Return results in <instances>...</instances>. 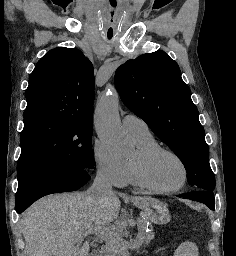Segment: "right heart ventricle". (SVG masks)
I'll return each instance as SVG.
<instances>
[{
  "mask_svg": "<svg viewBox=\"0 0 236 256\" xmlns=\"http://www.w3.org/2000/svg\"><path fill=\"white\" fill-rule=\"evenodd\" d=\"M132 138L138 149H147V148L155 147L158 145L156 140L153 138L151 134L144 137H138V138L132 137ZM125 165L127 169L128 184L136 187L140 186L136 181L131 163H125Z\"/></svg>",
  "mask_w": 236,
  "mask_h": 256,
  "instance_id": "right-heart-ventricle-1",
  "label": "right heart ventricle"
}]
</instances>
